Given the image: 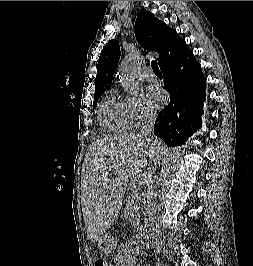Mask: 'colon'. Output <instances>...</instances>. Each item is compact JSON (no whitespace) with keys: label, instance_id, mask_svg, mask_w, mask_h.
Listing matches in <instances>:
<instances>
[{"label":"colon","instance_id":"colon-1","mask_svg":"<svg viewBox=\"0 0 253 266\" xmlns=\"http://www.w3.org/2000/svg\"><path fill=\"white\" fill-rule=\"evenodd\" d=\"M94 266H109V263L104 258H98L96 259Z\"/></svg>","mask_w":253,"mask_h":266}]
</instances>
